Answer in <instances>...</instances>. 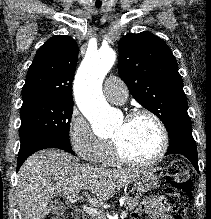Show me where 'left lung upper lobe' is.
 Wrapping results in <instances>:
<instances>
[{
    "label": "left lung upper lobe",
    "instance_id": "1",
    "mask_svg": "<svg viewBox=\"0 0 211 219\" xmlns=\"http://www.w3.org/2000/svg\"><path fill=\"white\" fill-rule=\"evenodd\" d=\"M118 72L135 100L154 113L168 133L191 124L176 58L162 39L149 32L122 37Z\"/></svg>",
    "mask_w": 211,
    "mask_h": 219
}]
</instances>
